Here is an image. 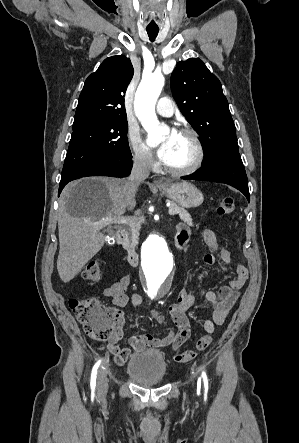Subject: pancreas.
<instances>
[{
  "label": "pancreas",
  "instance_id": "pancreas-1",
  "mask_svg": "<svg viewBox=\"0 0 299 443\" xmlns=\"http://www.w3.org/2000/svg\"><path fill=\"white\" fill-rule=\"evenodd\" d=\"M170 209H173L182 221L190 226H193L192 218L190 214L181 206L177 205L175 202H170ZM144 221L142 217L134 218V220L129 223V226L124 232V238L122 244L124 248H135L138 244L139 230L141 228V223Z\"/></svg>",
  "mask_w": 299,
  "mask_h": 443
}]
</instances>
